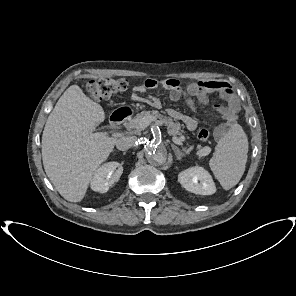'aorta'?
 Listing matches in <instances>:
<instances>
[{"label":"aorta","mask_w":296,"mask_h":296,"mask_svg":"<svg viewBox=\"0 0 296 296\" xmlns=\"http://www.w3.org/2000/svg\"><path fill=\"white\" fill-rule=\"evenodd\" d=\"M144 152L147 161L152 165H163L167 162V150L152 142H147L144 145Z\"/></svg>","instance_id":"1"}]
</instances>
